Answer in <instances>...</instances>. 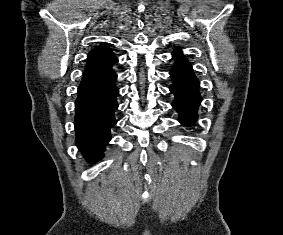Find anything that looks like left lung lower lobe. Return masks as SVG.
Instances as JSON below:
<instances>
[{
    "label": "left lung lower lobe",
    "instance_id": "0a47b994",
    "mask_svg": "<svg viewBox=\"0 0 283 235\" xmlns=\"http://www.w3.org/2000/svg\"><path fill=\"white\" fill-rule=\"evenodd\" d=\"M173 83L170 91L175 95L172 106L179 112L182 124H193L197 119V110L201 102L199 81L187 61H177L170 70Z\"/></svg>",
    "mask_w": 283,
    "mask_h": 235
}]
</instances>
